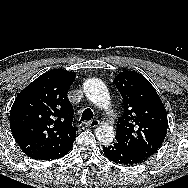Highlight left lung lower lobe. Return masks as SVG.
I'll return each instance as SVG.
<instances>
[{"label": "left lung lower lobe", "instance_id": "obj_1", "mask_svg": "<svg viewBox=\"0 0 188 188\" xmlns=\"http://www.w3.org/2000/svg\"><path fill=\"white\" fill-rule=\"evenodd\" d=\"M103 151L109 160L119 164L132 165L145 161L149 158L139 151L127 148L117 143L108 147H103Z\"/></svg>", "mask_w": 188, "mask_h": 188}]
</instances>
